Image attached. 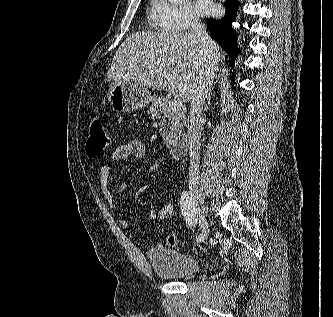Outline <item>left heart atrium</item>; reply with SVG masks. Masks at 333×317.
I'll list each match as a JSON object with an SVG mask.
<instances>
[{"label":"left heart atrium","instance_id":"obj_1","mask_svg":"<svg viewBox=\"0 0 333 317\" xmlns=\"http://www.w3.org/2000/svg\"><path fill=\"white\" fill-rule=\"evenodd\" d=\"M196 11L199 15H210L215 11V6L210 0H197Z\"/></svg>","mask_w":333,"mask_h":317}]
</instances>
